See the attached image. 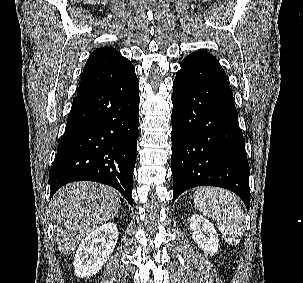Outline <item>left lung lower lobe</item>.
I'll use <instances>...</instances> for the list:
<instances>
[{"mask_svg": "<svg viewBox=\"0 0 303 283\" xmlns=\"http://www.w3.org/2000/svg\"><path fill=\"white\" fill-rule=\"evenodd\" d=\"M173 83V201L196 186H218L250 205L245 140L224 70L199 50L180 65Z\"/></svg>", "mask_w": 303, "mask_h": 283, "instance_id": "obj_1", "label": "left lung lower lobe"}]
</instances>
